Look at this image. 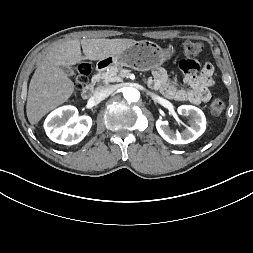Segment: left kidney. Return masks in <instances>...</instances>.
<instances>
[{
    "mask_svg": "<svg viewBox=\"0 0 253 253\" xmlns=\"http://www.w3.org/2000/svg\"><path fill=\"white\" fill-rule=\"evenodd\" d=\"M180 115L189 116L190 126L182 133L170 130L167 121L158 119L156 128L161 137L171 144H187L196 140L206 129V118L202 110L192 105H181L177 109Z\"/></svg>",
    "mask_w": 253,
    "mask_h": 253,
    "instance_id": "obj_1",
    "label": "left kidney"
}]
</instances>
